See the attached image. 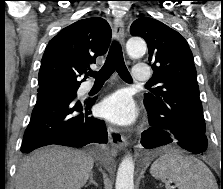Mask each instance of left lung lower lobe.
<instances>
[{
    "label": "left lung lower lobe",
    "instance_id": "0a47b994",
    "mask_svg": "<svg viewBox=\"0 0 223 189\" xmlns=\"http://www.w3.org/2000/svg\"><path fill=\"white\" fill-rule=\"evenodd\" d=\"M148 112L152 127L142 133L141 144L144 148L152 149L169 143H177L183 149L195 154L206 151L205 133L190 129L168 128L153 111L148 110Z\"/></svg>",
    "mask_w": 223,
    "mask_h": 189
}]
</instances>
